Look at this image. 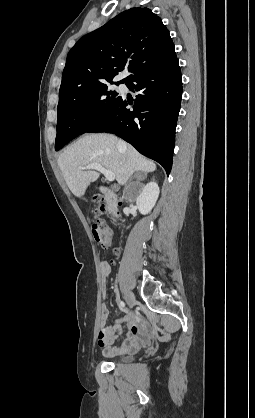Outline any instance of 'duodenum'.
I'll return each instance as SVG.
<instances>
[{
  "mask_svg": "<svg viewBox=\"0 0 255 418\" xmlns=\"http://www.w3.org/2000/svg\"><path fill=\"white\" fill-rule=\"evenodd\" d=\"M101 192L106 197V200H107V202L109 204V207H110V210H111V213H112L113 222L116 223L117 222V214H116L117 197L113 193V191L110 190L107 187H102L101 188Z\"/></svg>",
  "mask_w": 255,
  "mask_h": 418,
  "instance_id": "410a0bca",
  "label": "duodenum"
}]
</instances>
